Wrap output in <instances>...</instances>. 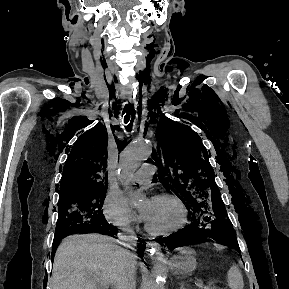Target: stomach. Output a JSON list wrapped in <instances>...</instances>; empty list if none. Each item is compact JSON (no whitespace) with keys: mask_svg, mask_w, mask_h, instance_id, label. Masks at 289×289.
Returning <instances> with one entry per match:
<instances>
[{"mask_svg":"<svg viewBox=\"0 0 289 289\" xmlns=\"http://www.w3.org/2000/svg\"><path fill=\"white\" fill-rule=\"evenodd\" d=\"M172 270L178 275H189L197 266L194 251L190 248H181L178 255L170 259Z\"/></svg>","mask_w":289,"mask_h":289,"instance_id":"stomach-1","label":"stomach"}]
</instances>
